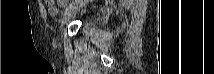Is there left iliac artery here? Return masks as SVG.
I'll use <instances>...</instances> for the list:
<instances>
[{"instance_id": "1", "label": "left iliac artery", "mask_w": 214, "mask_h": 74, "mask_svg": "<svg viewBox=\"0 0 214 74\" xmlns=\"http://www.w3.org/2000/svg\"><path fill=\"white\" fill-rule=\"evenodd\" d=\"M77 1L75 0V1H72V4H75ZM72 4H70L69 6H67L66 8H65V12L69 9V8H71L72 7Z\"/></svg>"}]
</instances>
